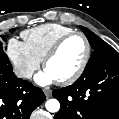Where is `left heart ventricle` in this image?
<instances>
[{
  "label": "left heart ventricle",
  "instance_id": "left-heart-ventricle-1",
  "mask_svg": "<svg viewBox=\"0 0 119 119\" xmlns=\"http://www.w3.org/2000/svg\"><path fill=\"white\" fill-rule=\"evenodd\" d=\"M85 50V42L81 37L75 36L69 39L57 55L48 62L46 70L55 80L70 76L81 64Z\"/></svg>",
  "mask_w": 119,
  "mask_h": 119
}]
</instances>
